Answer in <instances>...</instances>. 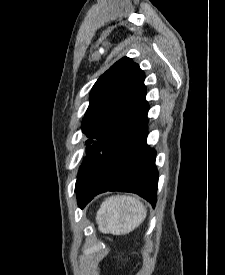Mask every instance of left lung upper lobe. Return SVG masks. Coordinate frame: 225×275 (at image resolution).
<instances>
[{"label": "left lung upper lobe", "instance_id": "1", "mask_svg": "<svg viewBox=\"0 0 225 275\" xmlns=\"http://www.w3.org/2000/svg\"><path fill=\"white\" fill-rule=\"evenodd\" d=\"M144 78L139 65L124 57L94 84L82 122V132L89 138L86 141L87 152L75 188L149 110Z\"/></svg>", "mask_w": 225, "mask_h": 275}]
</instances>
